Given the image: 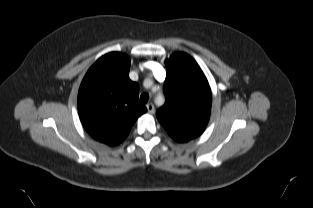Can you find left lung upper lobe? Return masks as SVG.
Segmentation results:
<instances>
[{
	"mask_svg": "<svg viewBox=\"0 0 313 208\" xmlns=\"http://www.w3.org/2000/svg\"><path fill=\"white\" fill-rule=\"evenodd\" d=\"M165 104L156 116L177 142H188L202 134L210 117L212 95L206 77L186 53L171 55L165 61Z\"/></svg>",
	"mask_w": 313,
	"mask_h": 208,
	"instance_id": "left-lung-upper-lobe-1",
	"label": "left lung upper lobe"
}]
</instances>
